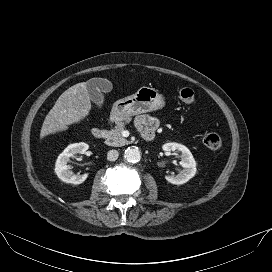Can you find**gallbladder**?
Here are the masks:
<instances>
[{
    "label": "gallbladder",
    "instance_id": "obj_1",
    "mask_svg": "<svg viewBox=\"0 0 272 272\" xmlns=\"http://www.w3.org/2000/svg\"><path fill=\"white\" fill-rule=\"evenodd\" d=\"M111 84L108 80L103 78H92L87 81V90L90 99L98 108H102L104 104L103 91H109Z\"/></svg>",
    "mask_w": 272,
    "mask_h": 272
}]
</instances>
